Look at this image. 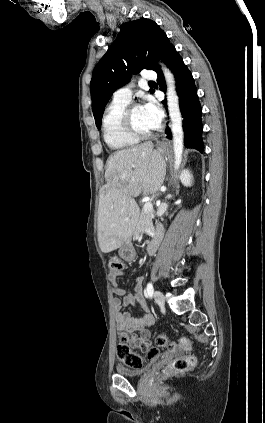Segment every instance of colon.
<instances>
[{
  "label": "colon",
  "instance_id": "obj_1",
  "mask_svg": "<svg viewBox=\"0 0 265 423\" xmlns=\"http://www.w3.org/2000/svg\"><path fill=\"white\" fill-rule=\"evenodd\" d=\"M109 267L114 272H120L123 270L124 265L122 260L117 256H111L109 259ZM169 344V336L167 334H160L156 337L155 345L150 347L146 351V355L134 353L127 342L126 335H121L119 343L117 345L116 354L117 358L128 368L136 369L142 368L146 359H155L162 348H165ZM179 346L185 350L191 348L189 340L182 336L179 339ZM196 358L192 355H185L176 358L170 365L168 372H184L194 366Z\"/></svg>",
  "mask_w": 265,
  "mask_h": 423
}]
</instances>
